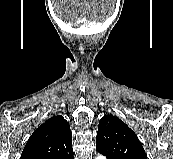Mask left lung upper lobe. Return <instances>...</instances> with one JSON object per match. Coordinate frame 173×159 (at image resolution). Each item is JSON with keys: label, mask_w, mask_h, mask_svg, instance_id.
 <instances>
[{"label": "left lung upper lobe", "mask_w": 173, "mask_h": 159, "mask_svg": "<svg viewBox=\"0 0 173 159\" xmlns=\"http://www.w3.org/2000/svg\"><path fill=\"white\" fill-rule=\"evenodd\" d=\"M96 150L107 159H147L137 135L113 115L100 119Z\"/></svg>", "instance_id": "1"}]
</instances>
